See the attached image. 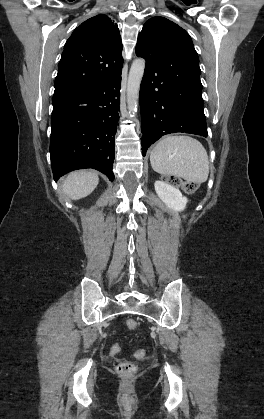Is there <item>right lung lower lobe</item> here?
<instances>
[{"instance_id":"98d812e1","label":"right lung lower lobe","mask_w":264,"mask_h":419,"mask_svg":"<svg viewBox=\"0 0 264 419\" xmlns=\"http://www.w3.org/2000/svg\"><path fill=\"white\" fill-rule=\"evenodd\" d=\"M121 71L99 85L53 96L50 157L54 180L82 168L114 179Z\"/></svg>"}]
</instances>
